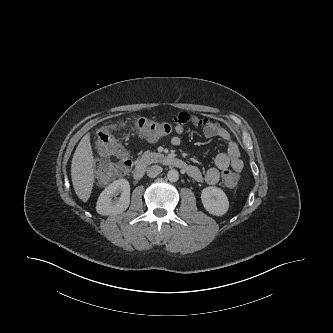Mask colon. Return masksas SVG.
Wrapping results in <instances>:
<instances>
[{
  "instance_id": "obj_1",
  "label": "colon",
  "mask_w": 333,
  "mask_h": 333,
  "mask_svg": "<svg viewBox=\"0 0 333 333\" xmlns=\"http://www.w3.org/2000/svg\"><path fill=\"white\" fill-rule=\"evenodd\" d=\"M123 125L104 126L97 132V150L103 157L110 159V161L96 165L97 177L101 182H107L124 175L132 165L129 154L114 138V133ZM132 127L140 136L148 139L162 138L171 131V126L168 123L143 117L135 119L132 122ZM223 177L227 188L236 187L238 177L235 172L227 170Z\"/></svg>"
}]
</instances>
